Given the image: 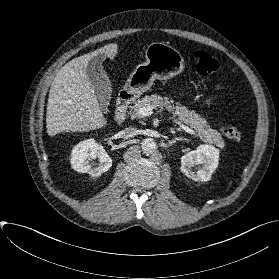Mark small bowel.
I'll list each match as a JSON object with an SVG mask.
<instances>
[{
	"instance_id": "c3829d8e",
	"label": "small bowel",
	"mask_w": 279,
	"mask_h": 279,
	"mask_svg": "<svg viewBox=\"0 0 279 279\" xmlns=\"http://www.w3.org/2000/svg\"><path fill=\"white\" fill-rule=\"evenodd\" d=\"M224 89V86L222 85V84H218L217 85V90L218 91H222ZM216 99V97L214 96V97H208L207 99H206V103L207 104H210L213 100H215Z\"/></svg>"
}]
</instances>
